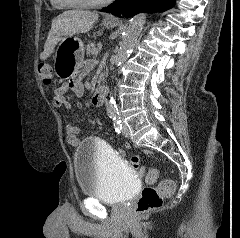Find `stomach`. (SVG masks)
Segmentation results:
<instances>
[{"mask_svg": "<svg viewBox=\"0 0 240 238\" xmlns=\"http://www.w3.org/2000/svg\"><path fill=\"white\" fill-rule=\"evenodd\" d=\"M117 23H105L113 28ZM84 58V44L78 37H65L62 39L54 55V71L61 79H69L78 69Z\"/></svg>", "mask_w": 240, "mask_h": 238, "instance_id": "0dacf381", "label": "stomach"}]
</instances>
